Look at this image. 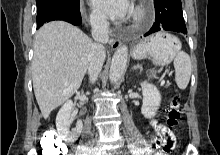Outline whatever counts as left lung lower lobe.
<instances>
[{"label": "left lung lower lobe", "instance_id": "obj_1", "mask_svg": "<svg viewBox=\"0 0 220 155\" xmlns=\"http://www.w3.org/2000/svg\"><path fill=\"white\" fill-rule=\"evenodd\" d=\"M154 7L155 22L144 36L161 30L187 33L181 0H154Z\"/></svg>", "mask_w": 220, "mask_h": 155}]
</instances>
